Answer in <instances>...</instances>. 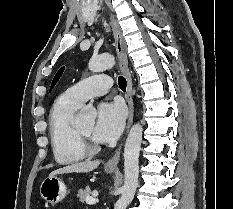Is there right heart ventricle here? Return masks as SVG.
<instances>
[{"instance_id": "right-heart-ventricle-1", "label": "right heart ventricle", "mask_w": 233, "mask_h": 209, "mask_svg": "<svg viewBox=\"0 0 233 209\" xmlns=\"http://www.w3.org/2000/svg\"><path fill=\"white\" fill-rule=\"evenodd\" d=\"M80 105L63 93L54 102L49 115V136L54 159L59 164H73L86 157L79 147L74 116Z\"/></svg>"}]
</instances>
